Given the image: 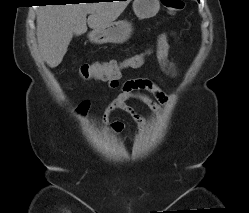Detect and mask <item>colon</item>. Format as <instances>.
Segmentation results:
<instances>
[{"instance_id":"5ec220e1","label":"colon","mask_w":249,"mask_h":213,"mask_svg":"<svg viewBox=\"0 0 249 213\" xmlns=\"http://www.w3.org/2000/svg\"><path fill=\"white\" fill-rule=\"evenodd\" d=\"M161 3L172 14L182 11L184 8L183 0H161ZM128 65V63L123 61L110 60L108 62L83 63L77 66L76 70L86 80L93 78L109 80L117 77L121 69L128 67Z\"/></svg>"}]
</instances>
